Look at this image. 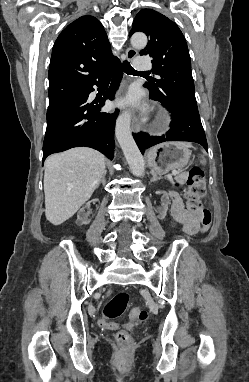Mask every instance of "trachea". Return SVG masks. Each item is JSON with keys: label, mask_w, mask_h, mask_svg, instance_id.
Masks as SVG:
<instances>
[{"label": "trachea", "mask_w": 249, "mask_h": 382, "mask_svg": "<svg viewBox=\"0 0 249 382\" xmlns=\"http://www.w3.org/2000/svg\"><path fill=\"white\" fill-rule=\"evenodd\" d=\"M123 70L128 75H136V74H146L147 72H138L133 69L128 61L123 62Z\"/></svg>", "instance_id": "1"}]
</instances>
